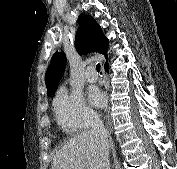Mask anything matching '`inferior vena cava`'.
<instances>
[{"label": "inferior vena cava", "mask_w": 177, "mask_h": 169, "mask_svg": "<svg viewBox=\"0 0 177 169\" xmlns=\"http://www.w3.org/2000/svg\"><path fill=\"white\" fill-rule=\"evenodd\" d=\"M90 132L98 138L104 152L102 169H110L108 134L99 116L92 118Z\"/></svg>", "instance_id": "602c4592"}]
</instances>
